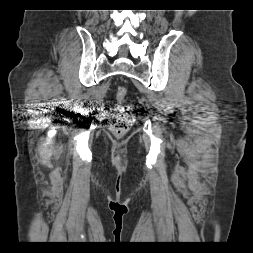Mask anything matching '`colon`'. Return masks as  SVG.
I'll use <instances>...</instances> for the list:
<instances>
[{
	"label": "colon",
	"mask_w": 253,
	"mask_h": 253,
	"mask_svg": "<svg viewBox=\"0 0 253 253\" xmlns=\"http://www.w3.org/2000/svg\"><path fill=\"white\" fill-rule=\"evenodd\" d=\"M126 95L127 89L124 86H119L116 90L118 105L109 121V129L116 137L124 136L135 122L133 108L124 103Z\"/></svg>",
	"instance_id": "obj_1"
}]
</instances>
